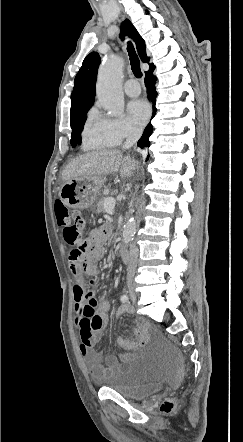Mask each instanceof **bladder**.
<instances>
[{"label":"bladder","instance_id":"31cf9c89","mask_svg":"<svg viewBox=\"0 0 243 442\" xmlns=\"http://www.w3.org/2000/svg\"><path fill=\"white\" fill-rule=\"evenodd\" d=\"M101 387L114 390L127 398L142 399L158 392L162 383L152 360L135 354L120 361Z\"/></svg>","mask_w":243,"mask_h":442}]
</instances>
